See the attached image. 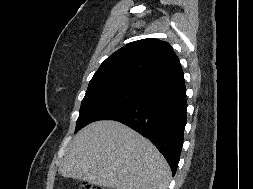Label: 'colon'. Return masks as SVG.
<instances>
[{"label":"colon","mask_w":253,"mask_h":189,"mask_svg":"<svg viewBox=\"0 0 253 189\" xmlns=\"http://www.w3.org/2000/svg\"><path fill=\"white\" fill-rule=\"evenodd\" d=\"M76 189H105V188L94 186V185H91V184L85 183V182H79L76 185Z\"/></svg>","instance_id":"obj_1"}]
</instances>
